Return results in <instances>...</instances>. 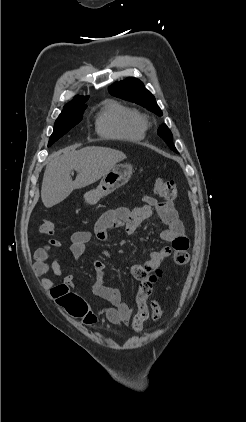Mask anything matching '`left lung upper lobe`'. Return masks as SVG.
<instances>
[{
	"instance_id": "1",
	"label": "left lung upper lobe",
	"mask_w": 246,
	"mask_h": 422,
	"mask_svg": "<svg viewBox=\"0 0 246 422\" xmlns=\"http://www.w3.org/2000/svg\"><path fill=\"white\" fill-rule=\"evenodd\" d=\"M109 92L113 96L139 104L155 114L162 116V111L157 105L154 96L136 78H127L121 82H116L109 88ZM158 135L173 151L177 152L172 142V133L166 125L159 127Z\"/></svg>"
}]
</instances>
